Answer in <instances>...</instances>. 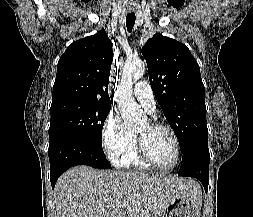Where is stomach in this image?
Returning <instances> with one entry per match:
<instances>
[{
  "label": "stomach",
  "mask_w": 253,
  "mask_h": 217,
  "mask_svg": "<svg viewBox=\"0 0 253 217\" xmlns=\"http://www.w3.org/2000/svg\"><path fill=\"white\" fill-rule=\"evenodd\" d=\"M201 201L193 197H177L159 217H200Z\"/></svg>",
  "instance_id": "obj_1"
}]
</instances>
